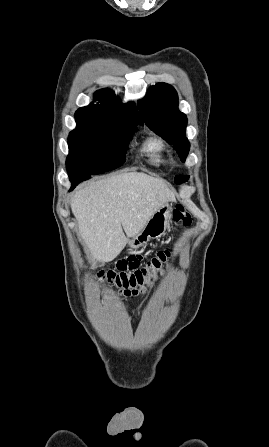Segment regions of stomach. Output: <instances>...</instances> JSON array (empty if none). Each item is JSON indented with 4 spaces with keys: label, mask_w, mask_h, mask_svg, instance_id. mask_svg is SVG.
<instances>
[{
    "label": "stomach",
    "mask_w": 269,
    "mask_h": 447,
    "mask_svg": "<svg viewBox=\"0 0 269 447\" xmlns=\"http://www.w3.org/2000/svg\"><path fill=\"white\" fill-rule=\"evenodd\" d=\"M172 208L169 206L168 202L163 204L147 224L144 225L143 229L134 235L132 239H129L128 245L132 249H138L141 245H146L150 239H155V237H161L165 233L171 218Z\"/></svg>",
    "instance_id": "obj_1"
}]
</instances>
